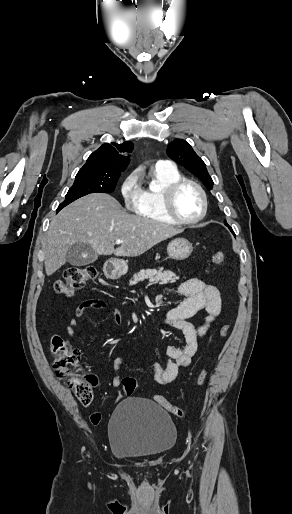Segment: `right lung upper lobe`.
<instances>
[{
    "label": "right lung upper lobe",
    "instance_id": "obj_1",
    "mask_svg": "<svg viewBox=\"0 0 292 514\" xmlns=\"http://www.w3.org/2000/svg\"><path fill=\"white\" fill-rule=\"evenodd\" d=\"M132 150L133 143L129 141L120 145L105 143L88 157L77 175L119 177L130 161L125 153Z\"/></svg>",
    "mask_w": 292,
    "mask_h": 514
}]
</instances>
